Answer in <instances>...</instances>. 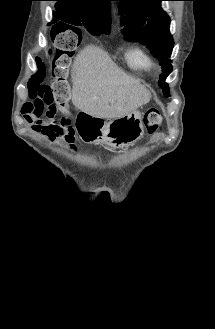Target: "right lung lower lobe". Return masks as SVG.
Returning <instances> with one entry per match:
<instances>
[{
    "mask_svg": "<svg viewBox=\"0 0 215 329\" xmlns=\"http://www.w3.org/2000/svg\"><path fill=\"white\" fill-rule=\"evenodd\" d=\"M78 35H80V32L79 31H75Z\"/></svg>",
    "mask_w": 215,
    "mask_h": 329,
    "instance_id": "98d812e1",
    "label": "right lung lower lobe"
}]
</instances>
